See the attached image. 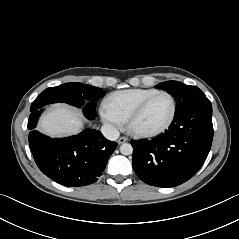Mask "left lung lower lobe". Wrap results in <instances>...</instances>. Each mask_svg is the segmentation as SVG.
<instances>
[{
    "instance_id": "1",
    "label": "left lung lower lobe",
    "mask_w": 239,
    "mask_h": 239,
    "mask_svg": "<svg viewBox=\"0 0 239 239\" xmlns=\"http://www.w3.org/2000/svg\"><path fill=\"white\" fill-rule=\"evenodd\" d=\"M212 139L211 103L191 106L175 114L169 129L158 138L131 141L133 169L149 185H180L202 167Z\"/></svg>"
}]
</instances>
